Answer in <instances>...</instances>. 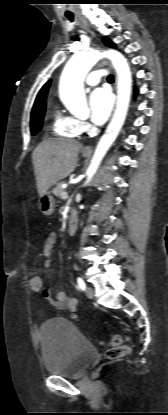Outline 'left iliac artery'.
<instances>
[{
  "instance_id": "obj_1",
  "label": "left iliac artery",
  "mask_w": 168,
  "mask_h": 415,
  "mask_svg": "<svg viewBox=\"0 0 168 415\" xmlns=\"http://www.w3.org/2000/svg\"><path fill=\"white\" fill-rule=\"evenodd\" d=\"M77 283H78L79 288H80L82 291H85V289H86V285H85V282L83 281V279H82V278H80V277H78V278H77Z\"/></svg>"
}]
</instances>
